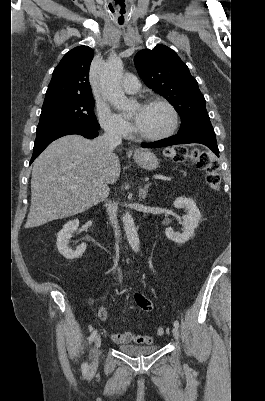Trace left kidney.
Masks as SVG:
<instances>
[{
	"label": "left kidney",
	"mask_w": 265,
	"mask_h": 401,
	"mask_svg": "<svg viewBox=\"0 0 265 401\" xmlns=\"http://www.w3.org/2000/svg\"><path fill=\"white\" fill-rule=\"evenodd\" d=\"M176 209H186L187 215L183 219V233H174L173 229H165V235L170 241L174 243H186L190 237H193L194 229L198 227L201 219V213L193 198H186V196H178L173 203Z\"/></svg>",
	"instance_id": "5707ae66"
}]
</instances>
